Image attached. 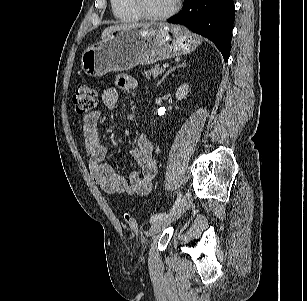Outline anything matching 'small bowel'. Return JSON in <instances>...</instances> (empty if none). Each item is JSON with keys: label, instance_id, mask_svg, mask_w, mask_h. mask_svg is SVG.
<instances>
[{"label": "small bowel", "instance_id": "small-bowel-1", "mask_svg": "<svg viewBox=\"0 0 307 301\" xmlns=\"http://www.w3.org/2000/svg\"><path fill=\"white\" fill-rule=\"evenodd\" d=\"M139 83L131 75H122L116 80V87L107 88L102 94V101L108 109L118 102L119 90L130 92L136 90ZM101 113L93 111L83 119V136L88 169L93 180L108 194L126 193L128 195H147L157 174V164L153 157V143L144 134L139 135L136 147L131 150L133 160L139 165L140 171L130 173L128 179L118 174L106 163L108 149L99 137V120Z\"/></svg>", "mask_w": 307, "mask_h": 301}]
</instances>
